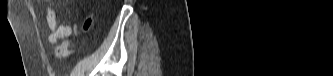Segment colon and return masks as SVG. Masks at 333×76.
Masks as SVG:
<instances>
[{"mask_svg": "<svg viewBox=\"0 0 333 76\" xmlns=\"http://www.w3.org/2000/svg\"><path fill=\"white\" fill-rule=\"evenodd\" d=\"M92 26V18L88 17L83 23V31L88 32ZM56 54L58 57L63 58L70 54V42L65 41L57 46Z\"/></svg>", "mask_w": 333, "mask_h": 76, "instance_id": "1", "label": "colon"}]
</instances>
